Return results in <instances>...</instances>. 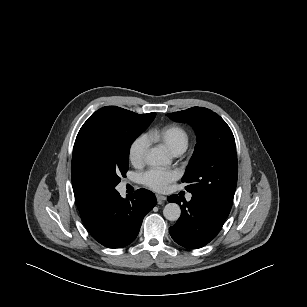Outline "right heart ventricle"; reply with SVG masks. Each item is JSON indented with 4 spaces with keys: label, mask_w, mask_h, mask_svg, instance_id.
I'll return each mask as SVG.
<instances>
[{
    "label": "right heart ventricle",
    "mask_w": 307,
    "mask_h": 307,
    "mask_svg": "<svg viewBox=\"0 0 307 307\" xmlns=\"http://www.w3.org/2000/svg\"><path fill=\"white\" fill-rule=\"evenodd\" d=\"M147 138L150 141L165 145L174 155L183 153L189 144V134L187 130L175 124L152 129L148 132Z\"/></svg>",
    "instance_id": "obj_1"
}]
</instances>
